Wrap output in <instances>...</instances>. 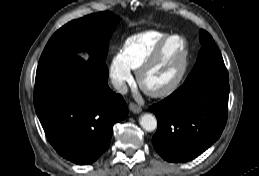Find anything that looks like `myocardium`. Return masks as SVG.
<instances>
[{"instance_id":"f54148a6","label":"myocardium","mask_w":259,"mask_h":176,"mask_svg":"<svg viewBox=\"0 0 259 176\" xmlns=\"http://www.w3.org/2000/svg\"><path fill=\"white\" fill-rule=\"evenodd\" d=\"M172 39H179L182 42V54L179 64L178 71L174 78L164 86L159 88H149L145 85L144 78L146 73L152 68V66L159 60L161 57L167 43ZM189 59V43L187 39L179 34H169L164 37L158 45L154 48L151 54L147 59L142 63V65L137 70V81L140 88L151 97H164L171 94L181 83L188 66Z\"/></svg>"}]
</instances>
